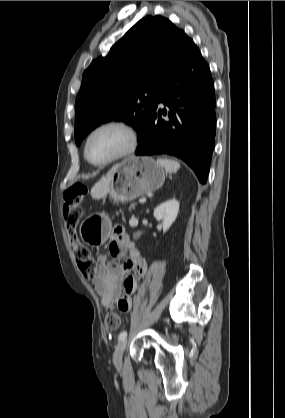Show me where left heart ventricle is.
<instances>
[{"instance_id":"1","label":"left heart ventricle","mask_w":285,"mask_h":418,"mask_svg":"<svg viewBox=\"0 0 285 418\" xmlns=\"http://www.w3.org/2000/svg\"><path fill=\"white\" fill-rule=\"evenodd\" d=\"M127 144V135L119 128H105L96 132L90 139L87 154L94 162H102L116 155Z\"/></svg>"}]
</instances>
